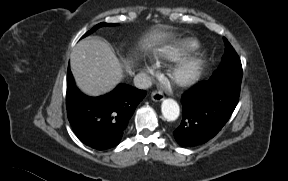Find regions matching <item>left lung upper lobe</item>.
I'll return each mask as SVG.
<instances>
[{"label": "left lung upper lobe", "instance_id": "1", "mask_svg": "<svg viewBox=\"0 0 288 181\" xmlns=\"http://www.w3.org/2000/svg\"><path fill=\"white\" fill-rule=\"evenodd\" d=\"M225 54L218 70L214 73L211 80L213 82H223L231 86L240 87L242 80V65L240 58L231 44L224 38Z\"/></svg>", "mask_w": 288, "mask_h": 181}]
</instances>
